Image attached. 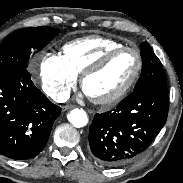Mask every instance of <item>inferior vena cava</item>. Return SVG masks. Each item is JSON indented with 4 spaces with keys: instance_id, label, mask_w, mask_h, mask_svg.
<instances>
[{
    "instance_id": "inferior-vena-cava-1",
    "label": "inferior vena cava",
    "mask_w": 183,
    "mask_h": 183,
    "mask_svg": "<svg viewBox=\"0 0 183 183\" xmlns=\"http://www.w3.org/2000/svg\"><path fill=\"white\" fill-rule=\"evenodd\" d=\"M52 98L58 103H63L69 99V93H53Z\"/></svg>"
}]
</instances>
